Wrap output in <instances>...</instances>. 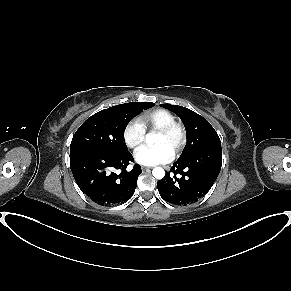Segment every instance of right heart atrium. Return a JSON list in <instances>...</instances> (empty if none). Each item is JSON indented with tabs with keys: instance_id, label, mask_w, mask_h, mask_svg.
<instances>
[{
	"instance_id": "1",
	"label": "right heart atrium",
	"mask_w": 291,
	"mask_h": 291,
	"mask_svg": "<svg viewBox=\"0 0 291 291\" xmlns=\"http://www.w3.org/2000/svg\"><path fill=\"white\" fill-rule=\"evenodd\" d=\"M146 130L138 121L133 119L129 121L123 129V141L127 147L134 149L145 140Z\"/></svg>"
}]
</instances>
